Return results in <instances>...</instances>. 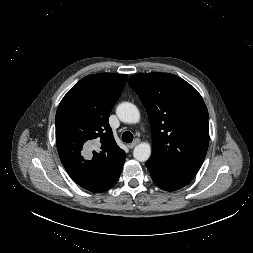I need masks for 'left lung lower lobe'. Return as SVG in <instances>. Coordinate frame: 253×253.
I'll return each mask as SVG.
<instances>
[{
  "instance_id": "obj_1",
  "label": "left lung lower lobe",
  "mask_w": 253,
  "mask_h": 253,
  "mask_svg": "<svg viewBox=\"0 0 253 253\" xmlns=\"http://www.w3.org/2000/svg\"><path fill=\"white\" fill-rule=\"evenodd\" d=\"M145 164L153 182L166 191H175L184 187L195 176V174L171 167L153 156Z\"/></svg>"
}]
</instances>
